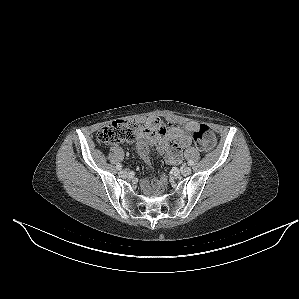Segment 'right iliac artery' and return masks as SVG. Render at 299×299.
<instances>
[{"label":"right iliac artery","instance_id":"right-iliac-artery-1","mask_svg":"<svg viewBox=\"0 0 299 299\" xmlns=\"http://www.w3.org/2000/svg\"><path fill=\"white\" fill-rule=\"evenodd\" d=\"M116 168H117V170H121L122 169V165L121 164H117Z\"/></svg>","mask_w":299,"mask_h":299}]
</instances>
